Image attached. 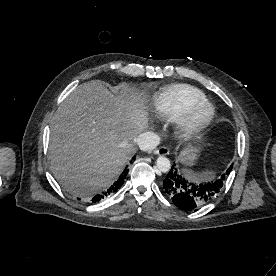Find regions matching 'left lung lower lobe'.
Wrapping results in <instances>:
<instances>
[{
  "label": "left lung lower lobe",
  "mask_w": 276,
  "mask_h": 276,
  "mask_svg": "<svg viewBox=\"0 0 276 276\" xmlns=\"http://www.w3.org/2000/svg\"><path fill=\"white\" fill-rule=\"evenodd\" d=\"M231 170L232 165L221 178L214 182L198 184L192 182L188 179L186 174L178 172L177 169L172 166L163 181V189L176 206L186 210L199 208L209 203L218 195Z\"/></svg>",
  "instance_id": "0a47b994"
}]
</instances>
